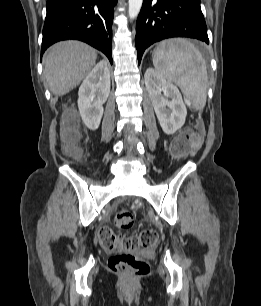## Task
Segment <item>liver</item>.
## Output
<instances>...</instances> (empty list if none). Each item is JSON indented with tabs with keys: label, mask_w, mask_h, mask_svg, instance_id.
Returning a JSON list of instances; mask_svg holds the SVG:
<instances>
[{
	"label": "liver",
	"mask_w": 261,
	"mask_h": 306,
	"mask_svg": "<svg viewBox=\"0 0 261 306\" xmlns=\"http://www.w3.org/2000/svg\"><path fill=\"white\" fill-rule=\"evenodd\" d=\"M97 52L79 41H63L53 45L45 57V77L54 95L74 89L90 73Z\"/></svg>",
	"instance_id": "obj_1"
}]
</instances>
